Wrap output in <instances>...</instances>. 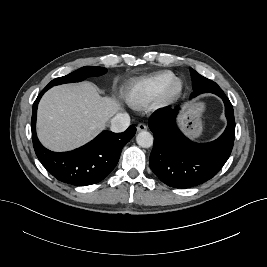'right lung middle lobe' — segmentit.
I'll use <instances>...</instances> for the list:
<instances>
[{"label": "right lung middle lobe", "mask_w": 267, "mask_h": 267, "mask_svg": "<svg viewBox=\"0 0 267 267\" xmlns=\"http://www.w3.org/2000/svg\"><path fill=\"white\" fill-rule=\"evenodd\" d=\"M107 72V69L104 67H95V66H86L82 67L66 76L56 78L52 80L47 87L51 88L55 85L71 83V82H80L87 77L100 76Z\"/></svg>", "instance_id": "obj_1"}]
</instances>
